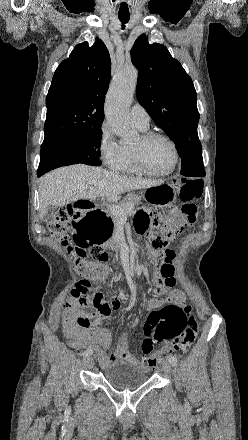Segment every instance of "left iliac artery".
<instances>
[{"label":"left iliac artery","instance_id":"44dca946","mask_svg":"<svg viewBox=\"0 0 248 440\" xmlns=\"http://www.w3.org/2000/svg\"><path fill=\"white\" fill-rule=\"evenodd\" d=\"M168 360L171 362V364H173L174 366H176L177 365V358H176V356H174V355H172V354H169L168 355Z\"/></svg>","mask_w":248,"mask_h":440}]
</instances>
